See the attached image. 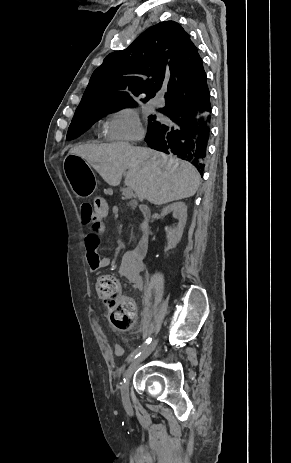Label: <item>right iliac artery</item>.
Segmentation results:
<instances>
[{"instance_id":"82829eb1","label":"right iliac artery","mask_w":291,"mask_h":463,"mask_svg":"<svg viewBox=\"0 0 291 463\" xmlns=\"http://www.w3.org/2000/svg\"><path fill=\"white\" fill-rule=\"evenodd\" d=\"M152 341V338H147L146 341L144 342V344H142L141 346H139L136 350H134V352L129 356L128 358V363L132 362L134 359H136L140 354H141V351L144 349V347L148 344H150ZM125 381V379H124Z\"/></svg>"}]
</instances>
